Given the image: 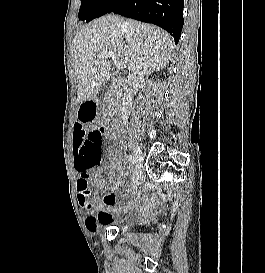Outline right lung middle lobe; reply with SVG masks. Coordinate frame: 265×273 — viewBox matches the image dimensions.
<instances>
[{"mask_svg": "<svg viewBox=\"0 0 265 273\" xmlns=\"http://www.w3.org/2000/svg\"><path fill=\"white\" fill-rule=\"evenodd\" d=\"M118 0H81L78 18L86 22L110 13Z\"/></svg>", "mask_w": 265, "mask_h": 273, "instance_id": "obj_1", "label": "right lung middle lobe"}]
</instances>
